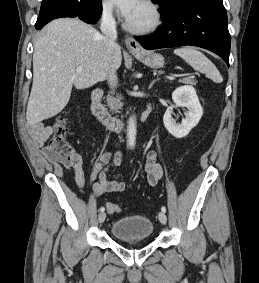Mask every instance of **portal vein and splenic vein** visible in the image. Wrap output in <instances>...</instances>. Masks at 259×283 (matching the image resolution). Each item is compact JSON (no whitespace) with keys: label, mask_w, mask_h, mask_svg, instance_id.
Masks as SVG:
<instances>
[{"label":"portal vein and splenic vein","mask_w":259,"mask_h":283,"mask_svg":"<svg viewBox=\"0 0 259 283\" xmlns=\"http://www.w3.org/2000/svg\"><path fill=\"white\" fill-rule=\"evenodd\" d=\"M82 69H83V68H82L81 66H78L77 69H76V71H77V72H80V71H82ZM167 78L170 79V80H174V79H175L174 76H167Z\"/></svg>","instance_id":"18ae733b"}]
</instances>
